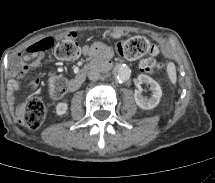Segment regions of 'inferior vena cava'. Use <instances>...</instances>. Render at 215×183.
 <instances>
[{
  "label": "inferior vena cava",
  "instance_id": "inferior-vena-cava-1",
  "mask_svg": "<svg viewBox=\"0 0 215 183\" xmlns=\"http://www.w3.org/2000/svg\"><path fill=\"white\" fill-rule=\"evenodd\" d=\"M100 78V73L96 70H91L88 72V79L95 81L98 80Z\"/></svg>",
  "mask_w": 215,
  "mask_h": 183
}]
</instances>
